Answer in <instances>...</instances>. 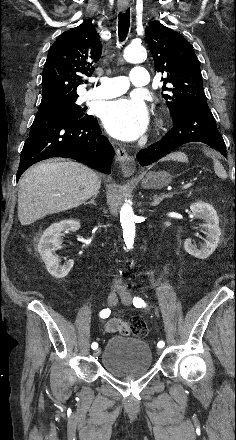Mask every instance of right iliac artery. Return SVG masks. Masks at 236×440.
Instances as JSON below:
<instances>
[{
  "label": "right iliac artery",
  "instance_id": "right-iliac-artery-1",
  "mask_svg": "<svg viewBox=\"0 0 236 440\" xmlns=\"http://www.w3.org/2000/svg\"><path fill=\"white\" fill-rule=\"evenodd\" d=\"M110 313H111V311L109 309H104V310H102L100 312L99 315H100L101 318H108ZM91 348L93 350L97 349L98 348V344L96 342H93L92 345H91Z\"/></svg>",
  "mask_w": 236,
  "mask_h": 440
}]
</instances>
